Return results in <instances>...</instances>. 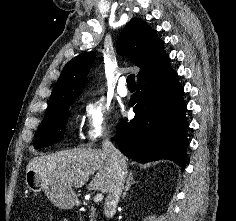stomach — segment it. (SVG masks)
I'll use <instances>...</instances> for the list:
<instances>
[{
    "instance_id": "1",
    "label": "stomach",
    "mask_w": 236,
    "mask_h": 221,
    "mask_svg": "<svg viewBox=\"0 0 236 221\" xmlns=\"http://www.w3.org/2000/svg\"><path fill=\"white\" fill-rule=\"evenodd\" d=\"M25 183L34 192H45L49 200L61 209H71L78 202L72 188L34 170L26 171Z\"/></svg>"
}]
</instances>
